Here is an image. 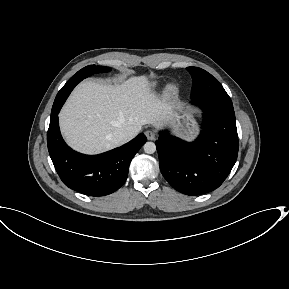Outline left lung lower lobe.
<instances>
[{
  "mask_svg": "<svg viewBox=\"0 0 289 289\" xmlns=\"http://www.w3.org/2000/svg\"><path fill=\"white\" fill-rule=\"evenodd\" d=\"M203 110V131L191 143L165 132L156 147L160 170L181 193L195 196L218 188L229 175L238 155V135L232 101L192 98Z\"/></svg>",
  "mask_w": 289,
  "mask_h": 289,
  "instance_id": "0a47b994",
  "label": "left lung lower lobe"
}]
</instances>
